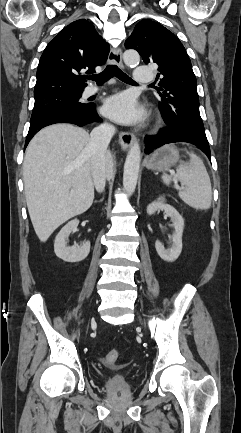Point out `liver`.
<instances>
[{
	"label": "liver",
	"instance_id": "liver-1",
	"mask_svg": "<svg viewBox=\"0 0 241 433\" xmlns=\"http://www.w3.org/2000/svg\"><path fill=\"white\" fill-rule=\"evenodd\" d=\"M90 136L71 124H54L30 141L23 163L26 203L36 235L46 242L70 218L84 213L94 199ZM106 175L113 158L106 152Z\"/></svg>",
	"mask_w": 241,
	"mask_h": 433
}]
</instances>
